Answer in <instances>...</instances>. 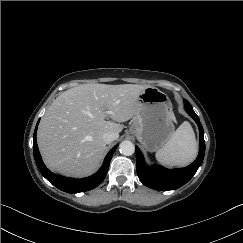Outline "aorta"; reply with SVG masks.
Returning <instances> with one entry per match:
<instances>
[{
    "instance_id": "obj_1",
    "label": "aorta",
    "mask_w": 243,
    "mask_h": 243,
    "mask_svg": "<svg viewBox=\"0 0 243 243\" xmlns=\"http://www.w3.org/2000/svg\"><path fill=\"white\" fill-rule=\"evenodd\" d=\"M119 151L125 156H130L135 152V146L131 141L124 140L119 145Z\"/></svg>"
}]
</instances>
